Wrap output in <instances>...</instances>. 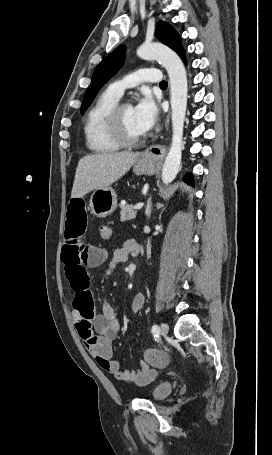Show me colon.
<instances>
[{"instance_id":"obj_1","label":"colon","mask_w":272,"mask_h":455,"mask_svg":"<svg viewBox=\"0 0 272 455\" xmlns=\"http://www.w3.org/2000/svg\"><path fill=\"white\" fill-rule=\"evenodd\" d=\"M99 234L103 241H108L112 235L111 229L108 225H101ZM144 359L147 363L152 365H162L167 362V356L155 349H149L144 352Z\"/></svg>"}]
</instances>
